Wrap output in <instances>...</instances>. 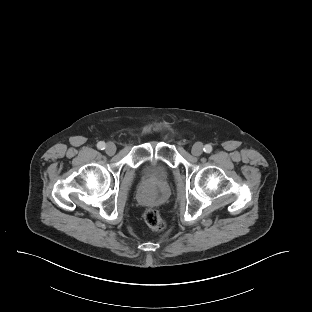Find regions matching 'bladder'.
Returning <instances> with one entry per match:
<instances>
[{
	"instance_id": "obj_1",
	"label": "bladder",
	"mask_w": 312,
	"mask_h": 312,
	"mask_svg": "<svg viewBox=\"0 0 312 312\" xmlns=\"http://www.w3.org/2000/svg\"><path fill=\"white\" fill-rule=\"evenodd\" d=\"M144 176L147 179L155 180V181H165L169 176V170L167 167L160 163H154L148 165L144 169Z\"/></svg>"
}]
</instances>
